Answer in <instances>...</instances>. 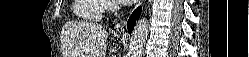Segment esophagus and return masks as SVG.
<instances>
[{"instance_id":"obj_1","label":"esophagus","mask_w":249,"mask_h":57,"mask_svg":"<svg viewBox=\"0 0 249 57\" xmlns=\"http://www.w3.org/2000/svg\"><path fill=\"white\" fill-rule=\"evenodd\" d=\"M142 2H145V0L144 1H142ZM125 25H126V21L125 20H122L120 23H118L116 26H115V30H117V31H122V30H124V27H125Z\"/></svg>"}]
</instances>
